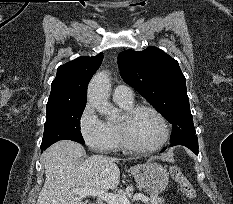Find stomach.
<instances>
[{
    "label": "stomach",
    "mask_w": 233,
    "mask_h": 204,
    "mask_svg": "<svg viewBox=\"0 0 233 204\" xmlns=\"http://www.w3.org/2000/svg\"><path fill=\"white\" fill-rule=\"evenodd\" d=\"M130 170L136 183L151 194L161 193L169 183V173L159 163L147 162L131 167Z\"/></svg>",
    "instance_id": "0dacf381"
}]
</instances>
